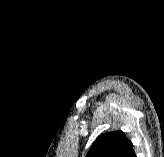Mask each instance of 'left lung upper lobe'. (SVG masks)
<instances>
[{"label":"left lung upper lobe","mask_w":164,"mask_h":157,"mask_svg":"<svg viewBox=\"0 0 164 157\" xmlns=\"http://www.w3.org/2000/svg\"><path fill=\"white\" fill-rule=\"evenodd\" d=\"M132 150L133 144L124 132H106L94 141L86 157H128Z\"/></svg>","instance_id":"1"}]
</instances>
